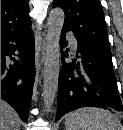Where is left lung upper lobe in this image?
I'll return each mask as SVG.
<instances>
[{"mask_svg":"<svg viewBox=\"0 0 123 130\" xmlns=\"http://www.w3.org/2000/svg\"><path fill=\"white\" fill-rule=\"evenodd\" d=\"M52 7L64 10L63 29L72 31L78 43L111 54L99 0H53Z\"/></svg>","mask_w":123,"mask_h":130,"instance_id":"obj_1","label":"left lung upper lobe"}]
</instances>
